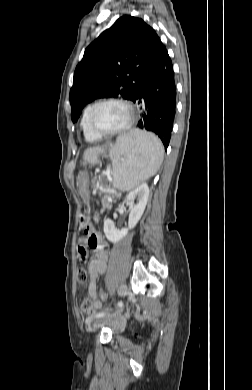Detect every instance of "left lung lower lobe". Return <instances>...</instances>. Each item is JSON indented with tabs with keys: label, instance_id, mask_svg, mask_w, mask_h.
Wrapping results in <instances>:
<instances>
[{
	"label": "left lung lower lobe",
	"instance_id": "left-lung-lower-lobe-1",
	"mask_svg": "<svg viewBox=\"0 0 252 390\" xmlns=\"http://www.w3.org/2000/svg\"><path fill=\"white\" fill-rule=\"evenodd\" d=\"M133 102L142 104V119L137 126L157 134L166 150L176 113V85L173 65L164 46L142 76Z\"/></svg>",
	"mask_w": 252,
	"mask_h": 390
}]
</instances>
